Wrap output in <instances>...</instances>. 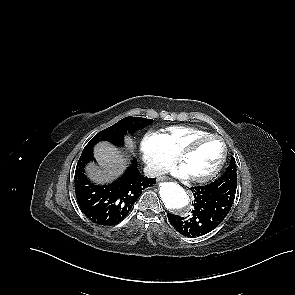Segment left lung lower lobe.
<instances>
[{
    "instance_id": "left-lung-lower-lobe-1",
    "label": "left lung lower lobe",
    "mask_w": 295,
    "mask_h": 295,
    "mask_svg": "<svg viewBox=\"0 0 295 295\" xmlns=\"http://www.w3.org/2000/svg\"><path fill=\"white\" fill-rule=\"evenodd\" d=\"M237 176L226 174L216 181L192 187L194 210L186 218L168 213L172 226L187 237L202 236L216 228L227 216L235 199Z\"/></svg>"
}]
</instances>
